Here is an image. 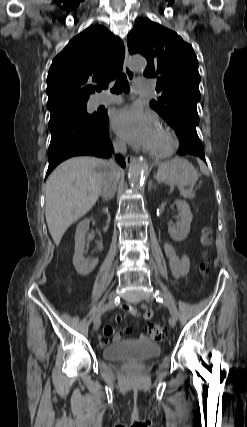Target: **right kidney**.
Masks as SVG:
<instances>
[{"mask_svg": "<svg viewBox=\"0 0 247 427\" xmlns=\"http://www.w3.org/2000/svg\"><path fill=\"white\" fill-rule=\"evenodd\" d=\"M90 219L81 221L76 229L75 234V253L73 256V265L82 276L90 274L98 264V258L84 259L85 235L89 230Z\"/></svg>", "mask_w": 247, "mask_h": 427, "instance_id": "right-kidney-1", "label": "right kidney"}]
</instances>
